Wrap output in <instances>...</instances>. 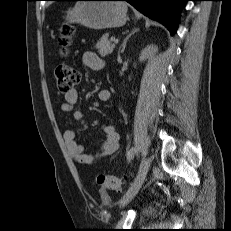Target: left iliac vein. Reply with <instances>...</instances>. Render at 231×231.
<instances>
[{
  "label": "left iliac vein",
  "mask_w": 231,
  "mask_h": 231,
  "mask_svg": "<svg viewBox=\"0 0 231 231\" xmlns=\"http://www.w3.org/2000/svg\"><path fill=\"white\" fill-rule=\"evenodd\" d=\"M150 165H151V159L149 157L144 158L142 160L134 182L132 183L127 193L124 195L123 199L121 200V204H120L121 206H125L127 203H129L138 193V191L140 190L141 186L145 181Z\"/></svg>",
  "instance_id": "left-iliac-vein-1"
}]
</instances>
